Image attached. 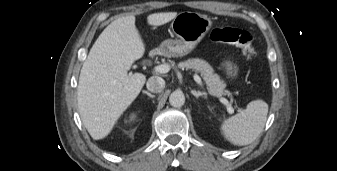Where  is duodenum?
<instances>
[{"instance_id":"410a0bca","label":"duodenum","mask_w":337,"mask_h":171,"mask_svg":"<svg viewBox=\"0 0 337 171\" xmlns=\"http://www.w3.org/2000/svg\"><path fill=\"white\" fill-rule=\"evenodd\" d=\"M160 54V50L158 49H154L150 52V57L151 58H155L156 56H158Z\"/></svg>"}]
</instances>
